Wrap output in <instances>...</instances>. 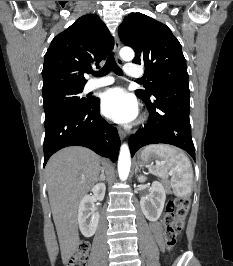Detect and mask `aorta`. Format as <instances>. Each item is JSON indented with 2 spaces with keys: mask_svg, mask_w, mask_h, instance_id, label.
Returning <instances> with one entry per match:
<instances>
[{
  "mask_svg": "<svg viewBox=\"0 0 233 266\" xmlns=\"http://www.w3.org/2000/svg\"><path fill=\"white\" fill-rule=\"evenodd\" d=\"M134 51L129 47H124L120 50V56L126 61H131L134 58ZM131 166L130 150L127 144H123L120 149L118 159V174L122 181L128 178Z\"/></svg>",
  "mask_w": 233,
  "mask_h": 266,
  "instance_id": "1",
  "label": "aorta"
}]
</instances>
